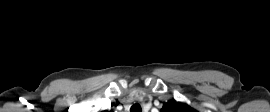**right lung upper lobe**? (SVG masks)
<instances>
[{
	"mask_svg": "<svg viewBox=\"0 0 270 112\" xmlns=\"http://www.w3.org/2000/svg\"><path fill=\"white\" fill-rule=\"evenodd\" d=\"M101 112H112V111H107V110H104V111H101Z\"/></svg>",
	"mask_w": 270,
	"mask_h": 112,
	"instance_id": "1",
	"label": "right lung upper lobe"
}]
</instances>
